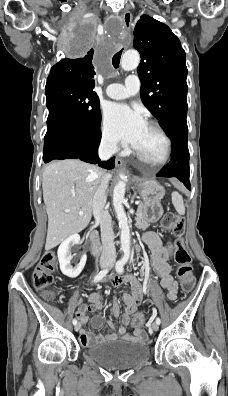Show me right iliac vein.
Returning a JSON list of instances; mask_svg holds the SVG:
<instances>
[{
  "mask_svg": "<svg viewBox=\"0 0 228 396\" xmlns=\"http://www.w3.org/2000/svg\"><path fill=\"white\" fill-rule=\"evenodd\" d=\"M108 264H109V263H108L107 261H102V262L100 263V266H101V268H105V267H107ZM80 327H81V324H80V323H77V324L75 325V327H74L75 331H76V332L79 331V330H80Z\"/></svg>",
  "mask_w": 228,
  "mask_h": 396,
  "instance_id": "obj_1",
  "label": "right iliac vein"
}]
</instances>
